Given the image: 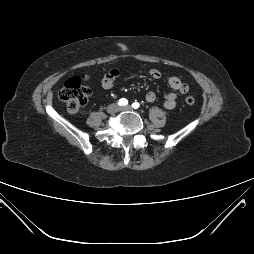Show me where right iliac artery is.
<instances>
[{
    "instance_id": "82829eb1",
    "label": "right iliac artery",
    "mask_w": 254,
    "mask_h": 254,
    "mask_svg": "<svg viewBox=\"0 0 254 254\" xmlns=\"http://www.w3.org/2000/svg\"><path fill=\"white\" fill-rule=\"evenodd\" d=\"M118 104H119L120 106H125V105L128 104V100L125 99V98H122V99L119 100Z\"/></svg>"
}]
</instances>
